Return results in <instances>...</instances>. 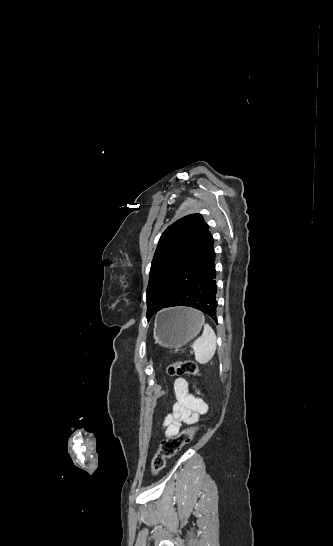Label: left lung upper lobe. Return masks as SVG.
<instances>
[{"label": "left lung upper lobe", "instance_id": "1", "mask_svg": "<svg viewBox=\"0 0 333 546\" xmlns=\"http://www.w3.org/2000/svg\"><path fill=\"white\" fill-rule=\"evenodd\" d=\"M209 232L202 215L185 216L170 225L161 235L150 269L147 287V319L165 304L170 288L180 274L197 257ZM203 263L194 267L196 274Z\"/></svg>", "mask_w": 333, "mask_h": 546}]
</instances>
